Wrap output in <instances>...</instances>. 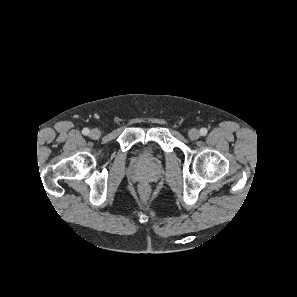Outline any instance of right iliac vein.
<instances>
[{
	"label": "right iliac vein",
	"mask_w": 297,
	"mask_h": 297,
	"mask_svg": "<svg viewBox=\"0 0 297 297\" xmlns=\"http://www.w3.org/2000/svg\"><path fill=\"white\" fill-rule=\"evenodd\" d=\"M100 135H101V133H100V130H98V129H92L89 134V136L92 139H98L100 137Z\"/></svg>",
	"instance_id": "1"
}]
</instances>
